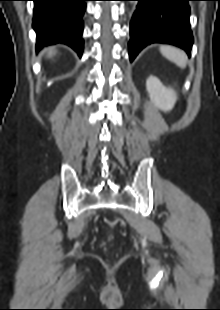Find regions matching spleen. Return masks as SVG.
I'll return each instance as SVG.
<instances>
[{
    "instance_id": "obj_1",
    "label": "spleen",
    "mask_w": 220,
    "mask_h": 310,
    "mask_svg": "<svg viewBox=\"0 0 220 310\" xmlns=\"http://www.w3.org/2000/svg\"><path fill=\"white\" fill-rule=\"evenodd\" d=\"M161 54L166 57L168 60L172 61L181 68L186 67V55L183 51L172 46H161Z\"/></svg>"
}]
</instances>
